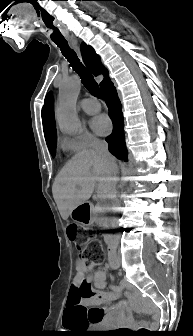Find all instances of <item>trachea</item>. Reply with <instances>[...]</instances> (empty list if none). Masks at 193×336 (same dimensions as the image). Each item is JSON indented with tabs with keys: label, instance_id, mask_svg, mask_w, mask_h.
<instances>
[{
	"label": "trachea",
	"instance_id": "1",
	"mask_svg": "<svg viewBox=\"0 0 193 336\" xmlns=\"http://www.w3.org/2000/svg\"><path fill=\"white\" fill-rule=\"evenodd\" d=\"M60 48L63 56L68 60L72 69L78 73L82 79L83 85L94 96L101 97L100 89L91 72L80 62L77 54L68 45L67 41L59 40L54 41Z\"/></svg>",
	"mask_w": 193,
	"mask_h": 336
}]
</instances>
